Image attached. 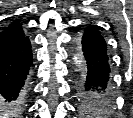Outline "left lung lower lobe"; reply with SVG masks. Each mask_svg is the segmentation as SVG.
Returning <instances> with one entry per match:
<instances>
[{
  "mask_svg": "<svg viewBox=\"0 0 133 118\" xmlns=\"http://www.w3.org/2000/svg\"><path fill=\"white\" fill-rule=\"evenodd\" d=\"M78 42L81 45L87 67V72L80 87L91 91L97 96L113 100L110 59L103 36L93 26H90L82 36H78Z\"/></svg>",
  "mask_w": 133,
  "mask_h": 118,
  "instance_id": "obj_1",
  "label": "left lung lower lobe"
}]
</instances>
